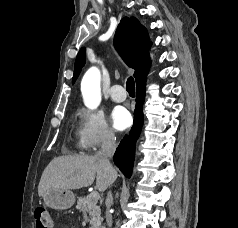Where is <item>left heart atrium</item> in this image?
Returning <instances> with one entry per match:
<instances>
[{"label":"left heart atrium","instance_id":"39dd6f15","mask_svg":"<svg viewBox=\"0 0 238 228\" xmlns=\"http://www.w3.org/2000/svg\"><path fill=\"white\" fill-rule=\"evenodd\" d=\"M113 126L117 130H124L131 124V115L123 107H116L111 113Z\"/></svg>","mask_w":238,"mask_h":228}]
</instances>
